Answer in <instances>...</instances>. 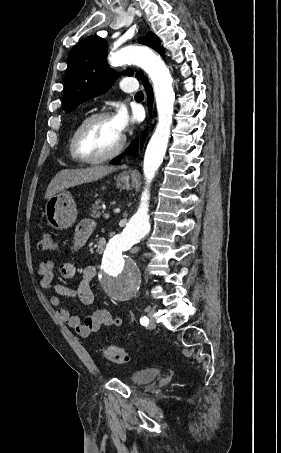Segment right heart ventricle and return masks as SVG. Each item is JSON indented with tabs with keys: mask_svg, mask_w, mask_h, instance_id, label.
Wrapping results in <instances>:
<instances>
[{
	"mask_svg": "<svg viewBox=\"0 0 281 453\" xmlns=\"http://www.w3.org/2000/svg\"><path fill=\"white\" fill-rule=\"evenodd\" d=\"M78 127H76L70 134V137H69V149H70V152H71V155L73 157V159L77 160V158L75 157V154H74V137H75V133H76V130H77Z\"/></svg>",
	"mask_w": 281,
	"mask_h": 453,
	"instance_id": "right-heart-ventricle-1",
	"label": "right heart ventricle"
}]
</instances>
